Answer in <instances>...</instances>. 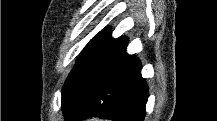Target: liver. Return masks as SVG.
Listing matches in <instances>:
<instances>
[{"instance_id": "6515ba94", "label": "liver", "mask_w": 217, "mask_h": 121, "mask_svg": "<svg viewBox=\"0 0 217 121\" xmlns=\"http://www.w3.org/2000/svg\"><path fill=\"white\" fill-rule=\"evenodd\" d=\"M93 119H94V118H92L90 121H94Z\"/></svg>"}]
</instances>
